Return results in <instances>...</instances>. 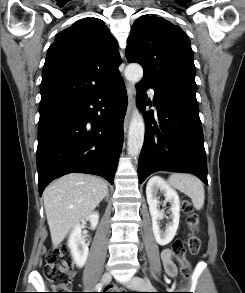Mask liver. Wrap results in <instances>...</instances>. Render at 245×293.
I'll return each mask as SVG.
<instances>
[{
	"label": "liver",
	"instance_id": "liver-1",
	"mask_svg": "<svg viewBox=\"0 0 245 293\" xmlns=\"http://www.w3.org/2000/svg\"><path fill=\"white\" fill-rule=\"evenodd\" d=\"M108 193L107 183L89 174H68L44 191V207L53 247L64 240Z\"/></svg>",
	"mask_w": 245,
	"mask_h": 293
}]
</instances>
